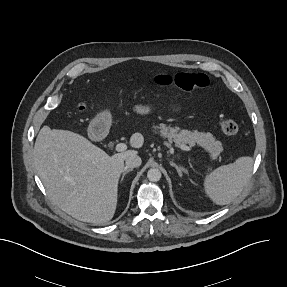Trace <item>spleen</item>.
<instances>
[{
	"label": "spleen",
	"mask_w": 287,
	"mask_h": 287,
	"mask_svg": "<svg viewBox=\"0 0 287 287\" xmlns=\"http://www.w3.org/2000/svg\"><path fill=\"white\" fill-rule=\"evenodd\" d=\"M253 167L252 157H239L234 163L223 165L206 175V194L217 205L236 199L247 185Z\"/></svg>",
	"instance_id": "obj_1"
}]
</instances>
